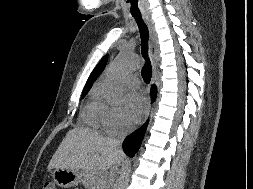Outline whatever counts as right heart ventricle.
I'll return each mask as SVG.
<instances>
[{
    "label": "right heart ventricle",
    "instance_id": "e07e8e85",
    "mask_svg": "<svg viewBox=\"0 0 253 189\" xmlns=\"http://www.w3.org/2000/svg\"><path fill=\"white\" fill-rule=\"evenodd\" d=\"M82 118L86 124L94 128L101 125V107L98 89H95L91 93L90 100L83 109Z\"/></svg>",
    "mask_w": 253,
    "mask_h": 189
}]
</instances>
